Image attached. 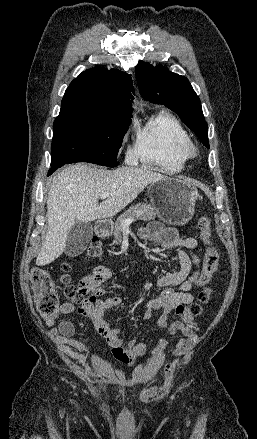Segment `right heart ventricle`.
<instances>
[{
    "mask_svg": "<svg viewBox=\"0 0 257 439\" xmlns=\"http://www.w3.org/2000/svg\"><path fill=\"white\" fill-rule=\"evenodd\" d=\"M190 136L180 121L161 111L136 133V160L165 173L181 171L189 156Z\"/></svg>",
    "mask_w": 257,
    "mask_h": 439,
    "instance_id": "1",
    "label": "right heart ventricle"
}]
</instances>
